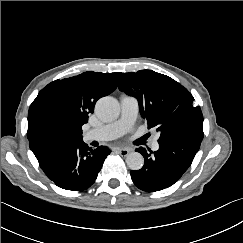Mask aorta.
<instances>
[{
  "label": "aorta",
  "mask_w": 243,
  "mask_h": 243,
  "mask_svg": "<svg viewBox=\"0 0 243 243\" xmlns=\"http://www.w3.org/2000/svg\"><path fill=\"white\" fill-rule=\"evenodd\" d=\"M95 113L103 122H111L119 116V104L112 97L100 98L95 105ZM126 164L131 170H140L144 158L139 152H131L126 157Z\"/></svg>",
  "instance_id": "aorta-1"
}]
</instances>
